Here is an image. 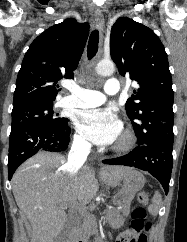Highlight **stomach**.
<instances>
[{
	"mask_svg": "<svg viewBox=\"0 0 187 242\" xmlns=\"http://www.w3.org/2000/svg\"><path fill=\"white\" fill-rule=\"evenodd\" d=\"M144 184L143 174L128 167L119 181L120 189L113 197V204L116 207L117 214L112 225L118 226L123 217L129 213L131 201L135 194L143 188Z\"/></svg>",
	"mask_w": 187,
	"mask_h": 242,
	"instance_id": "stomach-1",
	"label": "stomach"
}]
</instances>
